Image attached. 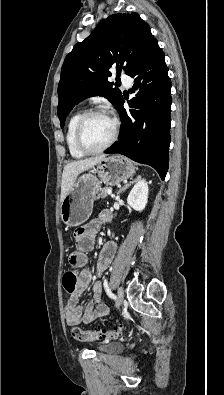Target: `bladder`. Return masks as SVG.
I'll return each mask as SVG.
<instances>
[{
  "instance_id": "bladder-1",
  "label": "bladder",
  "mask_w": 224,
  "mask_h": 395,
  "mask_svg": "<svg viewBox=\"0 0 224 395\" xmlns=\"http://www.w3.org/2000/svg\"><path fill=\"white\" fill-rule=\"evenodd\" d=\"M123 349V345L119 342H107L97 346V350L103 353H119Z\"/></svg>"
}]
</instances>
